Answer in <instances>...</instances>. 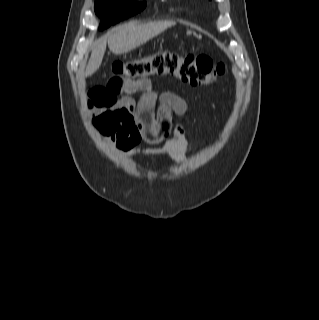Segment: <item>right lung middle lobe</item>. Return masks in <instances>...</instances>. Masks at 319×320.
Here are the masks:
<instances>
[{"label":"right lung middle lobe","instance_id":"dd1d6c3e","mask_svg":"<svg viewBox=\"0 0 319 320\" xmlns=\"http://www.w3.org/2000/svg\"><path fill=\"white\" fill-rule=\"evenodd\" d=\"M146 3H138L133 0H96L95 12L101 18L100 30L126 19L141 10Z\"/></svg>","mask_w":319,"mask_h":320}]
</instances>
